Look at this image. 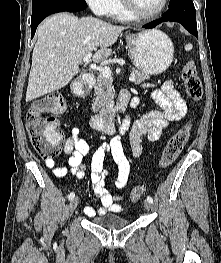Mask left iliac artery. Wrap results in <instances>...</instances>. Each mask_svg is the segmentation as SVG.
Listing matches in <instances>:
<instances>
[{"instance_id": "1", "label": "left iliac artery", "mask_w": 221, "mask_h": 263, "mask_svg": "<svg viewBox=\"0 0 221 263\" xmlns=\"http://www.w3.org/2000/svg\"><path fill=\"white\" fill-rule=\"evenodd\" d=\"M147 201L150 202V203H153V198L151 196H148L147 197Z\"/></svg>"}]
</instances>
